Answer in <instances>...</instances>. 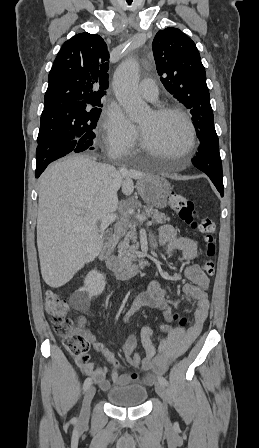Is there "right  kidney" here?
<instances>
[{
    "label": "right kidney",
    "instance_id": "right-kidney-1",
    "mask_svg": "<svg viewBox=\"0 0 259 448\" xmlns=\"http://www.w3.org/2000/svg\"><path fill=\"white\" fill-rule=\"evenodd\" d=\"M84 288L76 290L70 298V304L74 310L86 312L90 306L92 296H99L105 290V278L103 274H99L96 270H92L87 274L84 280Z\"/></svg>",
    "mask_w": 259,
    "mask_h": 448
}]
</instances>
